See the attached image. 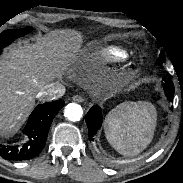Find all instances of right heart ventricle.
Wrapping results in <instances>:
<instances>
[{"label": "right heart ventricle", "instance_id": "e07e8e85", "mask_svg": "<svg viewBox=\"0 0 183 183\" xmlns=\"http://www.w3.org/2000/svg\"><path fill=\"white\" fill-rule=\"evenodd\" d=\"M127 56V54L122 50H114L112 51V57L114 60H122Z\"/></svg>", "mask_w": 183, "mask_h": 183}]
</instances>
